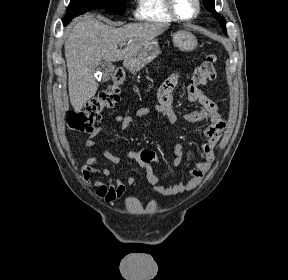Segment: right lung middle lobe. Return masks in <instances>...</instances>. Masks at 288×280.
<instances>
[{
  "instance_id": "1",
  "label": "right lung middle lobe",
  "mask_w": 288,
  "mask_h": 280,
  "mask_svg": "<svg viewBox=\"0 0 288 280\" xmlns=\"http://www.w3.org/2000/svg\"><path fill=\"white\" fill-rule=\"evenodd\" d=\"M126 0H71L63 21L84 14L93 9H104L111 13L123 15Z\"/></svg>"
}]
</instances>
